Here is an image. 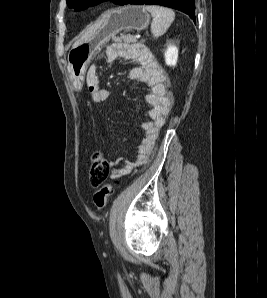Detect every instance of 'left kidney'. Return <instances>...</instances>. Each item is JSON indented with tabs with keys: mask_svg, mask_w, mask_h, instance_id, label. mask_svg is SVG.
Here are the masks:
<instances>
[{
	"mask_svg": "<svg viewBox=\"0 0 267 298\" xmlns=\"http://www.w3.org/2000/svg\"><path fill=\"white\" fill-rule=\"evenodd\" d=\"M178 59V49L175 45L169 44L165 51V62L168 66L174 67Z\"/></svg>",
	"mask_w": 267,
	"mask_h": 298,
	"instance_id": "1",
	"label": "left kidney"
}]
</instances>
